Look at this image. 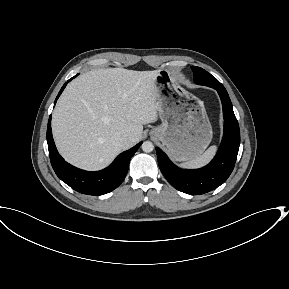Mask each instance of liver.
<instances>
[{"instance_id": "obj_1", "label": "liver", "mask_w": 289, "mask_h": 289, "mask_svg": "<svg viewBox=\"0 0 289 289\" xmlns=\"http://www.w3.org/2000/svg\"><path fill=\"white\" fill-rule=\"evenodd\" d=\"M159 70H91L74 79L52 117L60 154L87 170L106 167L123 149L137 144L143 125L157 120ZM126 136L124 144L118 138Z\"/></svg>"}]
</instances>
